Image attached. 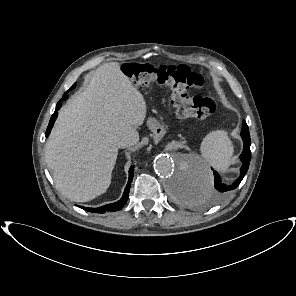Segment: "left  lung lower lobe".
I'll return each instance as SVG.
<instances>
[{
	"label": "left lung lower lobe",
	"instance_id": "0a47b994",
	"mask_svg": "<svg viewBox=\"0 0 296 296\" xmlns=\"http://www.w3.org/2000/svg\"><path fill=\"white\" fill-rule=\"evenodd\" d=\"M241 136L244 142V149L242 154L240 155V160L242 161L243 165L241 167V173L239 178H237L233 184L231 185H225L221 182V179L219 177V175L217 174V172H214L215 175V189L217 190V194L219 196L227 193L230 190H233L235 188H237L240 184V182L242 181V179L244 178L245 174L247 173L248 167H249V163H250V159H251V151H250V134H249V129L248 126L246 124L245 121H243V127H242V131H241ZM181 187H185L183 184L178 188L181 189ZM187 197H193L196 198L193 195H187Z\"/></svg>",
	"mask_w": 296,
	"mask_h": 296
}]
</instances>
